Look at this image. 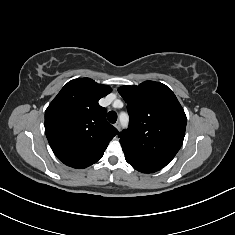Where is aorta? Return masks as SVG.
<instances>
[{"mask_svg": "<svg viewBox=\"0 0 235 235\" xmlns=\"http://www.w3.org/2000/svg\"><path fill=\"white\" fill-rule=\"evenodd\" d=\"M128 120H129V118H128V115H127V114H125V113H121V114H120V121H121V123H122L124 126L127 125Z\"/></svg>", "mask_w": 235, "mask_h": 235, "instance_id": "aorta-1", "label": "aorta"}]
</instances>
